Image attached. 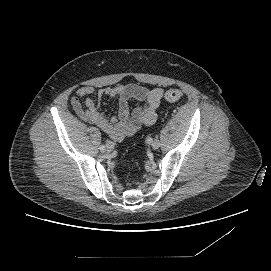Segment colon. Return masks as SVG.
<instances>
[{
	"instance_id": "colon-1",
	"label": "colon",
	"mask_w": 271,
	"mask_h": 271,
	"mask_svg": "<svg viewBox=\"0 0 271 271\" xmlns=\"http://www.w3.org/2000/svg\"><path fill=\"white\" fill-rule=\"evenodd\" d=\"M182 92L178 89H170L165 93V99L168 102H177L182 98Z\"/></svg>"
}]
</instances>
